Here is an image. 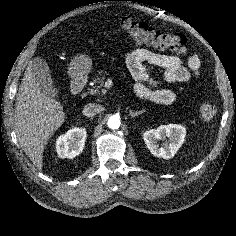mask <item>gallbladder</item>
Wrapping results in <instances>:
<instances>
[{"mask_svg": "<svg viewBox=\"0 0 236 236\" xmlns=\"http://www.w3.org/2000/svg\"><path fill=\"white\" fill-rule=\"evenodd\" d=\"M32 73L36 79L40 90L52 97H58V91L55 88L47 62L42 58H35L32 62Z\"/></svg>", "mask_w": 236, "mask_h": 236, "instance_id": "1", "label": "gallbladder"}]
</instances>
